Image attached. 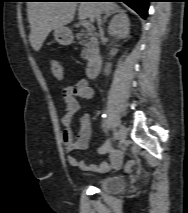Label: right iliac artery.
Here are the masks:
<instances>
[{"instance_id":"obj_1","label":"right iliac artery","mask_w":188,"mask_h":213,"mask_svg":"<svg viewBox=\"0 0 188 213\" xmlns=\"http://www.w3.org/2000/svg\"><path fill=\"white\" fill-rule=\"evenodd\" d=\"M113 136L115 139H119V133L116 130H114Z\"/></svg>"}]
</instances>
